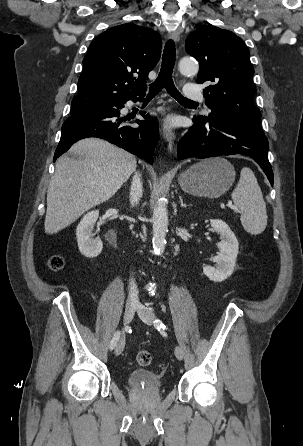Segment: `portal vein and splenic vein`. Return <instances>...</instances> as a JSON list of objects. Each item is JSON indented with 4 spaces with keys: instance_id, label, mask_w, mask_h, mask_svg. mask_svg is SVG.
Listing matches in <instances>:
<instances>
[{
    "instance_id": "portal-vein-and-splenic-vein-1",
    "label": "portal vein and splenic vein",
    "mask_w": 303,
    "mask_h": 446,
    "mask_svg": "<svg viewBox=\"0 0 303 446\" xmlns=\"http://www.w3.org/2000/svg\"><path fill=\"white\" fill-rule=\"evenodd\" d=\"M228 207H229L230 209H232V210L237 211V207L234 206V205H232V203H229V204H228Z\"/></svg>"
}]
</instances>
